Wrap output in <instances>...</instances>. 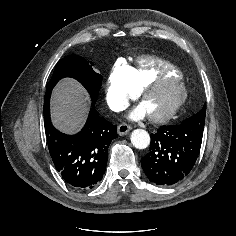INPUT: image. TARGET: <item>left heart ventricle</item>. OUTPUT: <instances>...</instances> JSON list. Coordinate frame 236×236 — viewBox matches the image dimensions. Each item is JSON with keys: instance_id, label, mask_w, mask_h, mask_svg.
<instances>
[{"instance_id": "left-heart-ventricle-1", "label": "left heart ventricle", "mask_w": 236, "mask_h": 236, "mask_svg": "<svg viewBox=\"0 0 236 236\" xmlns=\"http://www.w3.org/2000/svg\"><path fill=\"white\" fill-rule=\"evenodd\" d=\"M176 94L177 90L174 86L165 84L148 93L142 105L148 114H158L169 107Z\"/></svg>"}]
</instances>
